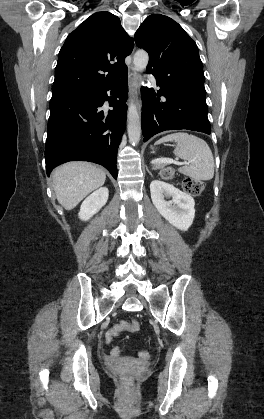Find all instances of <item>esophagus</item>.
Here are the masks:
<instances>
[{
    "mask_svg": "<svg viewBox=\"0 0 264 419\" xmlns=\"http://www.w3.org/2000/svg\"><path fill=\"white\" fill-rule=\"evenodd\" d=\"M128 83H129V87L135 92L136 105H137L138 110L140 111L141 103L138 99V91L140 87V76L134 75V68L132 65L128 67Z\"/></svg>",
    "mask_w": 264,
    "mask_h": 419,
    "instance_id": "obj_1",
    "label": "esophagus"
}]
</instances>
